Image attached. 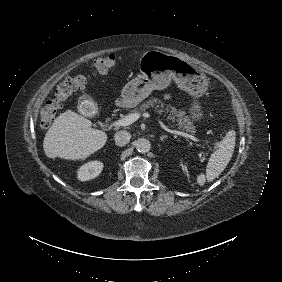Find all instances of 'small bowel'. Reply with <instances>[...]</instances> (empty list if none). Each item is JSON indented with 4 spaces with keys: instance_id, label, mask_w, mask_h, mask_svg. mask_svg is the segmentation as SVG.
<instances>
[{
    "instance_id": "obj_1",
    "label": "small bowel",
    "mask_w": 282,
    "mask_h": 282,
    "mask_svg": "<svg viewBox=\"0 0 282 282\" xmlns=\"http://www.w3.org/2000/svg\"><path fill=\"white\" fill-rule=\"evenodd\" d=\"M169 98H170V96H169V95H166V96H165V99H169Z\"/></svg>"
}]
</instances>
